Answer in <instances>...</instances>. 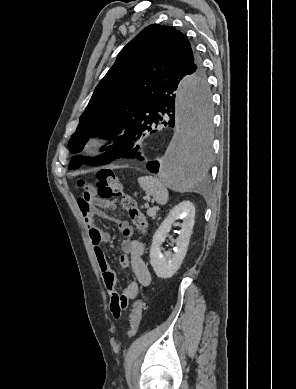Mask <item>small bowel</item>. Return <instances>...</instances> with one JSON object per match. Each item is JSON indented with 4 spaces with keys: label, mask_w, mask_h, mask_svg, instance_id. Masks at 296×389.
<instances>
[{
    "label": "small bowel",
    "mask_w": 296,
    "mask_h": 389,
    "mask_svg": "<svg viewBox=\"0 0 296 389\" xmlns=\"http://www.w3.org/2000/svg\"><path fill=\"white\" fill-rule=\"evenodd\" d=\"M78 206L88 230L104 284L110 295V310L113 315L116 311L122 313L130 301L137 297L140 287H147L151 283V274L143 260V245L133 239V228L127 221L111 219L117 224L124 237L121 243L122 254L119 257V264L123 269H131L133 272V279L126 284L122 292H119L117 276L110 267L103 250V244L110 241V235L95 224V217L103 216L102 210L112 208L113 205L98 198L91 191L79 197Z\"/></svg>",
    "instance_id": "1"
}]
</instances>
